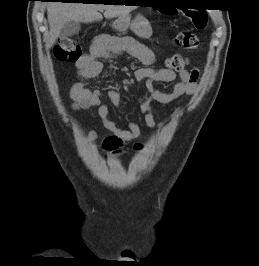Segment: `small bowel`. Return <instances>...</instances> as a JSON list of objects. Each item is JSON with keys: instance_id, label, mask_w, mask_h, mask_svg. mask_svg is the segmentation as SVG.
Listing matches in <instances>:
<instances>
[{"instance_id": "1", "label": "small bowel", "mask_w": 259, "mask_h": 266, "mask_svg": "<svg viewBox=\"0 0 259 266\" xmlns=\"http://www.w3.org/2000/svg\"><path fill=\"white\" fill-rule=\"evenodd\" d=\"M121 54H128L146 66L136 70L135 78L138 81H145L148 96L141 104L140 109L144 115L146 125L150 128L157 127L153 115L154 103L167 106L180 97L194 94L197 89L199 76L197 69L181 70L179 72L180 81L170 91L156 89L155 85L157 83L174 81L176 74L166 68H151L150 65L155 61L153 51L132 37L97 36L90 45L88 52L76 62L80 78L91 79L97 77L103 67L101 59ZM71 96L74 100L72 106L74 110L96 107L103 127L112 133L105 137L101 143L100 149L104 153L117 152L126 142L139 137L141 131L137 123L130 121L127 129H121L108 117L109 108L105 102L106 100L115 107L123 109V99L119 92L111 90L105 95L99 90H89L82 82H77L71 89ZM97 137L98 131L96 130H91L88 134L89 141L96 140Z\"/></svg>"}]
</instances>
